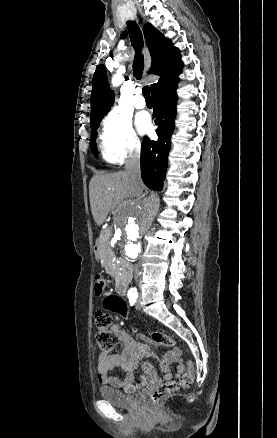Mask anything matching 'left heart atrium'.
Listing matches in <instances>:
<instances>
[{
    "label": "left heart atrium",
    "mask_w": 277,
    "mask_h": 438,
    "mask_svg": "<svg viewBox=\"0 0 277 438\" xmlns=\"http://www.w3.org/2000/svg\"><path fill=\"white\" fill-rule=\"evenodd\" d=\"M136 125L141 134H146L151 128L150 116L145 112L139 113L136 116Z\"/></svg>",
    "instance_id": "obj_1"
}]
</instances>
